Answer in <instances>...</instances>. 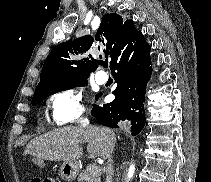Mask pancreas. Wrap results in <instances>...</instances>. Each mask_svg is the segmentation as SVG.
<instances>
[{"label":"pancreas","mask_w":211,"mask_h":182,"mask_svg":"<svg viewBox=\"0 0 211 182\" xmlns=\"http://www.w3.org/2000/svg\"><path fill=\"white\" fill-rule=\"evenodd\" d=\"M101 174V169L95 163L90 164L79 174L78 182H100Z\"/></svg>","instance_id":"pancreas-1"}]
</instances>
